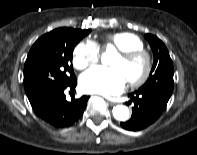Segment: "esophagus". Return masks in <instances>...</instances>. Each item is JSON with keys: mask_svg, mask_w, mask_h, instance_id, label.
Returning <instances> with one entry per match:
<instances>
[{"mask_svg": "<svg viewBox=\"0 0 197 155\" xmlns=\"http://www.w3.org/2000/svg\"><path fill=\"white\" fill-rule=\"evenodd\" d=\"M108 103H109L111 106L116 105V102H114V101H108Z\"/></svg>", "mask_w": 197, "mask_h": 155, "instance_id": "obj_1", "label": "esophagus"}]
</instances>
